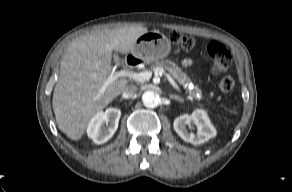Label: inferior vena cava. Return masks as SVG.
<instances>
[{"label":"inferior vena cava","mask_w":292,"mask_h":192,"mask_svg":"<svg viewBox=\"0 0 292 192\" xmlns=\"http://www.w3.org/2000/svg\"><path fill=\"white\" fill-rule=\"evenodd\" d=\"M137 90L138 88L135 85L129 84L123 89L122 97L125 99L131 98L136 94Z\"/></svg>","instance_id":"obj_1"}]
</instances>
